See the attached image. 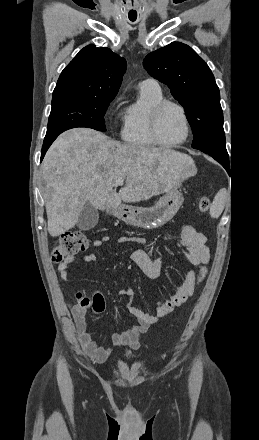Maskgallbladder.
<instances>
[{"label": "gallbladder", "mask_w": 259, "mask_h": 440, "mask_svg": "<svg viewBox=\"0 0 259 440\" xmlns=\"http://www.w3.org/2000/svg\"><path fill=\"white\" fill-rule=\"evenodd\" d=\"M99 221L98 210L92 207L90 204H85L82 211L79 214L77 227L80 230H90L94 228Z\"/></svg>", "instance_id": "1"}]
</instances>
